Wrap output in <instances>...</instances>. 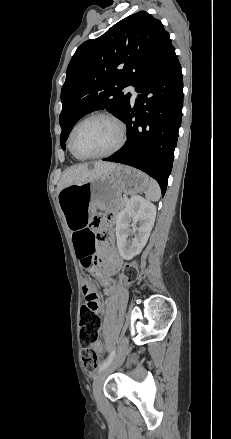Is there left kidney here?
<instances>
[{
	"label": "left kidney",
	"mask_w": 231,
	"mask_h": 439,
	"mask_svg": "<svg viewBox=\"0 0 231 439\" xmlns=\"http://www.w3.org/2000/svg\"><path fill=\"white\" fill-rule=\"evenodd\" d=\"M155 217V205L141 196H132L127 201L116 219L117 248L123 259L130 260L141 252L148 241ZM137 222L139 227H136ZM130 233L134 238L128 240Z\"/></svg>",
	"instance_id": "left-kidney-1"
}]
</instances>
